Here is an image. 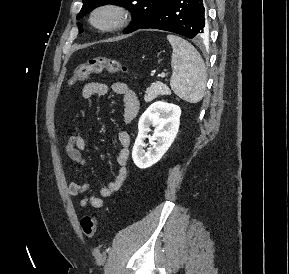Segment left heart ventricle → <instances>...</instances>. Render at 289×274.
<instances>
[{
    "instance_id": "left-heart-ventricle-1",
    "label": "left heart ventricle",
    "mask_w": 289,
    "mask_h": 274,
    "mask_svg": "<svg viewBox=\"0 0 289 274\" xmlns=\"http://www.w3.org/2000/svg\"><path fill=\"white\" fill-rule=\"evenodd\" d=\"M108 20H109V16L108 15H100L98 18H97V21H98V23H100V24H105V23H107L108 22Z\"/></svg>"
}]
</instances>
